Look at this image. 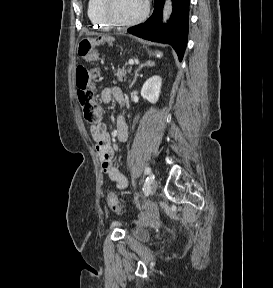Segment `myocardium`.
I'll return each instance as SVG.
<instances>
[{
	"mask_svg": "<svg viewBox=\"0 0 273 288\" xmlns=\"http://www.w3.org/2000/svg\"><path fill=\"white\" fill-rule=\"evenodd\" d=\"M112 2H113V0H102V3H101L102 17L111 26L131 27V26H134V25H137V24L143 22L149 14V4L146 0H144L145 6H144V10L140 16H138L137 18L132 19V20H126V21L118 20L112 15V13L110 11Z\"/></svg>",
	"mask_w": 273,
	"mask_h": 288,
	"instance_id": "obj_1",
	"label": "myocardium"
}]
</instances>
